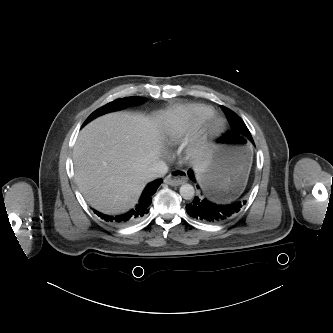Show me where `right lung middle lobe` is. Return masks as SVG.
<instances>
[{"instance_id": "1", "label": "right lung middle lobe", "mask_w": 333, "mask_h": 333, "mask_svg": "<svg viewBox=\"0 0 333 333\" xmlns=\"http://www.w3.org/2000/svg\"><path fill=\"white\" fill-rule=\"evenodd\" d=\"M145 100L146 99L144 97H137V96L117 99V100L110 102L107 105L97 109L96 111H94L87 118V120L85 121L83 126L100 115H103L105 113L112 112V111H117V110L123 109V108L131 106V105H137V104L143 103Z\"/></svg>"}]
</instances>
